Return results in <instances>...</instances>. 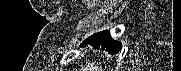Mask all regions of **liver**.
<instances>
[{
  "label": "liver",
  "instance_id": "6515ba94",
  "mask_svg": "<svg viewBox=\"0 0 181 71\" xmlns=\"http://www.w3.org/2000/svg\"><path fill=\"white\" fill-rule=\"evenodd\" d=\"M81 71H103L101 66H93V63L87 62V65L85 68H82Z\"/></svg>",
  "mask_w": 181,
  "mask_h": 71
}]
</instances>
